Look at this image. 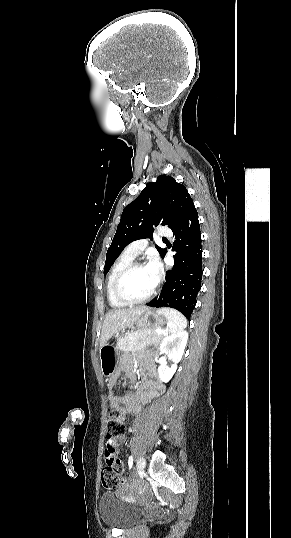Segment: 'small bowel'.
<instances>
[{
	"label": "small bowel",
	"instance_id": "obj_1",
	"mask_svg": "<svg viewBox=\"0 0 291 538\" xmlns=\"http://www.w3.org/2000/svg\"><path fill=\"white\" fill-rule=\"evenodd\" d=\"M121 369L130 380L134 377L130 371V359L124 356L121 361ZM158 383L156 374L153 371H146L144 384L135 393L117 394L118 374L113 375L108 380V400L113 409L118 410L122 415H138L142 413L141 401L151 394V389ZM118 445H124L125 436L121 435L117 439Z\"/></svg>",
	"mask_w": 291,
	"mask_h": 538
}]
</instances>
